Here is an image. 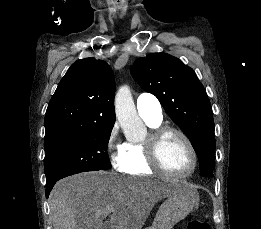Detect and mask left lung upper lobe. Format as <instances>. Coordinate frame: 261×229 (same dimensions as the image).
<instances>
[{
    "mask_svg": "<svg viewBox=\"0 0 261 229\" xmlns=\"http://www.w3.org/2000/svg\"><path fill=\"white\" fill-rule=\"evenodd\" d=\"M131 75L143 90L159 99L171 119L187 135L198 156L201 176H213L212 108L193 69L169 54L152 53L134 62Z\"/></svg>",
    "mask_w": 261,
    "mask_h": 229,
    "instance_id": "left-lung-upper-lobe-1",
    "label": "left lung upper lobe"
}]
</instances>
